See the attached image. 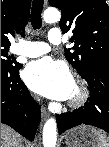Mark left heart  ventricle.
Masks as SVG:
<instances>
[{
  "mask_svg": "<svg viewBox=\"0 0 109 147\" xmlns=\"http://www.w3.org/2000/svg\"><path fill=\"white\" fill-rule=\"evenodd\" d=\"M77 92H78L77 87H76V85L74 84V85H73L72 92H71V95H70V99L76 97Z\"/></svg>",
  "mask_w": 109,
  "mask_h": 147,
  "instance_id": "b2bd125f",
  "label": "left heart ventricle"
}]
</instances>
